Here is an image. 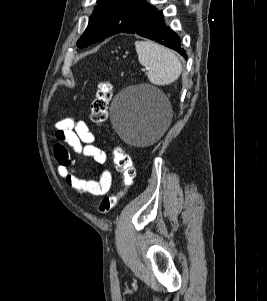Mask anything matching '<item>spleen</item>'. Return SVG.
<instances>
[{
    "instance_id": "3e777b00",
    "label": "spleen",
    "mask_w": 267,
    "mask_h": 301,
    "mask_svg": "<svg viewBox=\"0 0 267 301\" xmlns=\"http://www.w3.org/2000/svg\"><path fill=\"white\" fill-rule=\"evenodd\" d=\"M135 49L140 64L148 70L147 77L152 84L169 85L179 78L182 65L170 49L149 41H136Z\"/></svg>"
}]
</instances>
